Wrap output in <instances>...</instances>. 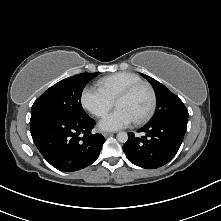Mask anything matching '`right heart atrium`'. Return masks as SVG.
<instances>
[{
    "label": "right heart atrium",
    "instance_id": "right-heart-atrium-1",
    "mask_svg": "<svg viewBox=\"0 0 221 221\" xmlns=\"http://www.w3.org/2000/svg\"><path fill=\"white\" fill-rule=\"evenodd\" d=\"M80 101L83 108L96 117L105 116L114 104L101 90L93 87L82 90Z\"/></svg>",
    "mask_w": 221,
    "mask_h": 221
}]
</instances>
